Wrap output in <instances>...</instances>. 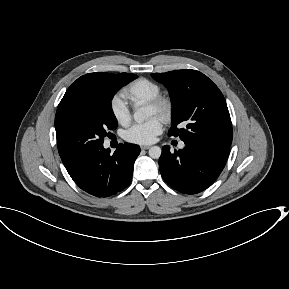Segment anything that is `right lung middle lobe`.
Returning a JSON list of instances; mask_svg holds the SVG:
<instances>
[{"mask_svg": "<svg viewBox=\"0 0 289 289\" xmlns=\"http://www.w3.org/2000/svg\"><path fill=\"white\" fill-rule=\"evenodd\" d=\"M135 78L137 75L131 73L111 74L91 90L86 99L57 109V146L64 165L103 145L108 130L117 128L111 100L122 86Z\"/></svg>", "mask_w": 289, "mask_h": 289, "instance_id": "dd1d6c3e", "label": "right lung middle lobe"}]
</instances>
